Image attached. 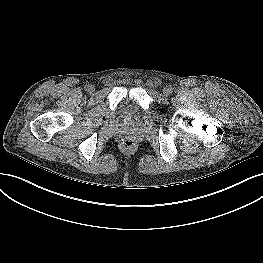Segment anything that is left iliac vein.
<instances>
[{"label":"left iliac vein","instance_id":"1","mask_svg":"<svg viewBox=\"0 0 263 263\" xmlns=\"http://www.w3.org/2000/svg\"><path fill=\"white\" fill-rule=\"evenodd\" d=\"M163 93H164V95H169L170 94V90H169V88H164L163 89Z\"/></svg>","mask_w":263,"mask_h":263}]
</instances>
